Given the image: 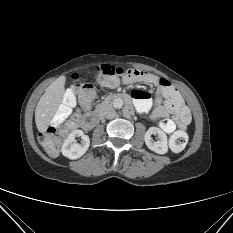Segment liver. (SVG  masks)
<instances>
[{"instance_id":"liver-1","label":"liver","mask_w":233,"mask_h":233,"mask_svg":"<svg viewBox=\"0 0 233 233\" xmlns=\"http://www.w3.org/2000/svg\"><path fill=\"white\" fill-rule=\"evenodd\" d=\"M66 77L60 76L52 82L40 97L35 109V122L39 132H46L58 110L65 91Z\"/></svg>"}]
</instances>
